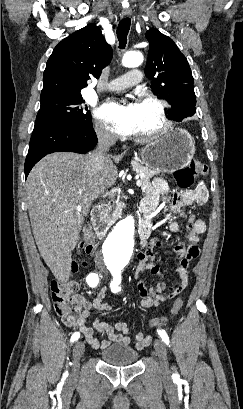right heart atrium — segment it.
<instances>
[{
	"instance_id": "1",
	"label": "right heart atrium",
	"mask_w": 243,
	"mask_h": 409,
	"mask_svg": "<svg viewBox=\"0 0 243 409\" xmlns=\"http://www.w3.org/2000/svg\"><path fill=\"white\" fill-rule=\"evenodd\" d=\"M95 133L99 140L103 142H111L114 140V135L109 129L101 122L95 124Z\"/></svg>"
}]
</instances>
